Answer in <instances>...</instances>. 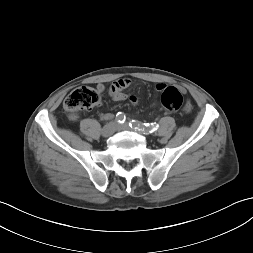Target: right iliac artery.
Masks as SVG:
<instances>
[{
  "mask_svg": "<svg viewBox=\"0 0 253 253\" xmlns=\"http://www.w3.org/2000/svg\"><path fill=\"white\" fill-rule=\"evenodd\" d=\"M116 120H117V122L120 123V124L124 123L125 120H126L125 114L122 113V112H118V113L116 114Z\"/></svg>",
  "mask_w": 253,
  "mask_h": 253,
  "instance_id": "obj_1",
  "label": "right iliac artery"
}]
</instances>
